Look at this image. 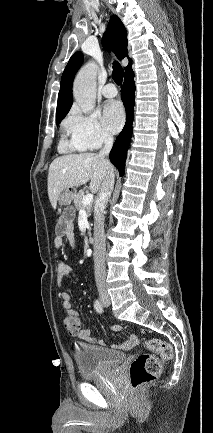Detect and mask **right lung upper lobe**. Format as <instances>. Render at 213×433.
<instances>
[{
	"instance_id": "right-lung-upper-lobe-1",
	"label": "right lung upper lobe",
	"mask_w": 213,
	"mask_h": 433,
	"mask_svg": "<svg viewBox=\"0 0 213 433\" xmlns=\"http://www.w3.org/2000/svg\"><path fill=\"white\" fill-rule=\"evenodd\" d=\"M103 47L106 50H113L118 59L128 57L127 54V32L117 15H113L108 23V27L102 39ZM129 58V57H128ZM83 63V54L78 51L72 55L61 78V87L58 94L57 103V120H62L63 117L69 112L72 102V84L76 72ZM131 69V59L126 67V72Z\"/></svg>"
}]
</instances>
